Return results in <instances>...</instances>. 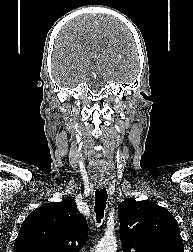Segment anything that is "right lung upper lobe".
<instances>
[{"label":"right lung upper lobe","instance_id":"right-lung-upper-lobe-1","mask_svg":"<svg viewBox=\"0 0 193 252\" xmlns=\"http://www.w3.org/2000/svg\"><path fill=\"white\" fill-rule=\"evenodd\" d=\"M88 235L86 218L72 198L42 204L23 221L14 252H79Z\"/></svg>","mask_w":193,"mask_h":252}]
</instances>
